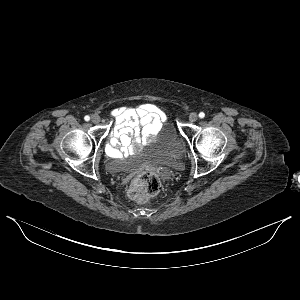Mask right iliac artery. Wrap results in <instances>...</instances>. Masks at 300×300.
Instances as JSON below:
<instances>
[{
  "mask_svg": "<svg viewBox=\"0 0 300 300\" xmlns=\"http://www.w3.org/2000/svg\"><path fill=\"white\" fill-rule=\"evenodd\" d=\"M84 119H85V121H89V120H90V117H89L88 115H86V116L84 117Z\"/></svg>",
  "mask_w": 300,
  "mask_h": 300,
  "instance_id": "obj_1",
  "label": "right iliac artery"
}]
</instances>
